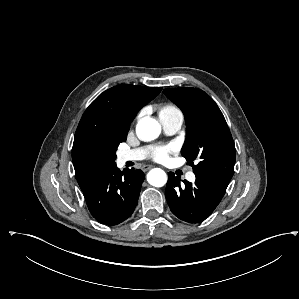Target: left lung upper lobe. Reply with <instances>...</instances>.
Returning a JSON list of instances; mask_svg holds the SVG:
<instances>
[{
    "label": "left lung upper lobe",
    "mask_w": 299,
    "mask_h": 299,
    "mask_svg": "<svg viewBox=\"0 0 299 299\" xmlns=\"http://www.w3.org/2000/svg\"><path fill=\"white\" fill-rule=\"evenodd\" d=\"M164 93L184 113L186 140L182 155L193 172L228 186L234 173L235 145L217 104L201 89L167 88ZM194 160L199 163L194 165Z\"/></svg>",
    "instance_id": "1"
}]
</instances>
